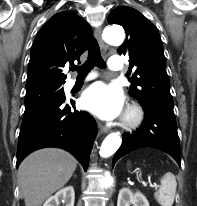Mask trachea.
<instances>
[{
    "instance_id": "3493384b",
    "label": "trachea",
    "mask_w": 197,
    "mask_h": 206,
    "mask_svg": "<svg viewBox=\"0 0 197 206\" xmlns=\"http://www.w3.org/2000/svg\"><path fill=\"white\" fill-rule=\"evenodd\" d=\"M94 66L104 67V61L102 59L100 49L96 40H93L90 45L86 62L81 66L72 67L71 71L77 70L78 77H84L85 75H87L88 72L91 71Z\"/></svg>"
}]
</instances>
